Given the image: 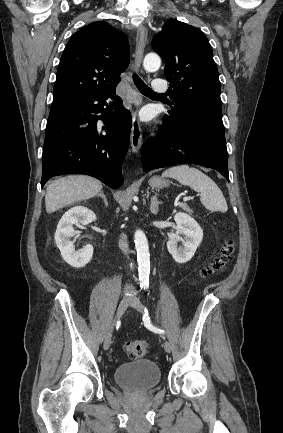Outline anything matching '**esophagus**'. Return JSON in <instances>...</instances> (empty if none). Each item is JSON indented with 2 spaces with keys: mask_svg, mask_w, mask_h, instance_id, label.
<instances>
[{
  "mask_svg": "<svg viewBox=\"0 0 283 433\" xmlns=\"http://www.w3.org/2000/svg\"><path fill=\"white\" fill-rule=\"evenodd\" d=\"M148 30L145 27H140L137 30L136 35V46H135V54H134V66L135 70H139L143 55L144 49L147 42ZM142 144V130L140 122L137 118V112H133L132 115V127H131V147L133 152H138Z\"/></svg>",
  "mask_w": 283,
  "mask_h": 433,
  "instance_id": "esophagus-1",
  "label": "esophagus"
}]
</instances>
